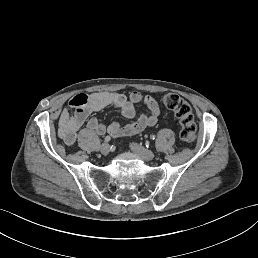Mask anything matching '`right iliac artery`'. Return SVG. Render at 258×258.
Segmentation results:
<instances>
[{"label": "right iliac artery", "instance_id": "1", "mask_svg": "<svg viewBox=\"0 0 258 258\" xmlns=\"http://www.w3.org/2000/svg\"><path fill=\"white\" fill-rule=\"evenodd\" d=\"M105 141H106V142L111 141V137H110V136H106V137H105Z\"/></svg>", "mask_w": 258, "mask_h": 258}]
</instances>
